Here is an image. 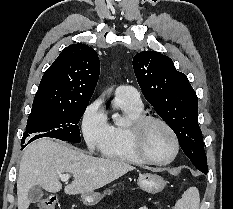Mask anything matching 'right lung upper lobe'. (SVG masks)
<instances>
[{"label":"right lung upper lobe","mask_w":233,"mask_h":209,"mask_svg":"<svg viewBox=\"0 0 233 209\" xmlns=\"http://www.w3.org/2000/svg\"><path fill=\"white\" fill-rule=\"evenodd\" d=\"M99 74L93 48L81 43L66 47L44 73L32 108L57 110L88 104Z\"/></svg>","instance_id":"obj_1"}]
</instances>
